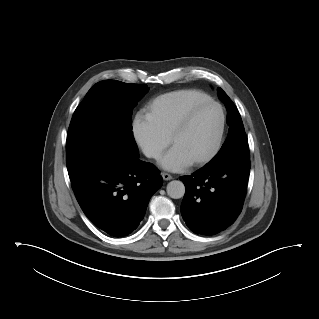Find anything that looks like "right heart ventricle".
Returning <instances> with one entry per match:
<instances>
[{
  "label": "right heart ventricle",
  "instance_id": "right-heart-ventricle-1",
  "mask_svg": "<svg viewBox=\"0 0 319 319\" xmlns=\"http://www.w3.org/2000/svg\"><path fill=\"white\" fill-rule=\"evenodd\" d=\"M211 99L199 89H185L154 98L146 107V115L152 123L169 137L176 125L194 105Z\"/></svg>",
  "mask_w": 319,
  "mask_h": 319
}]
</instances>
